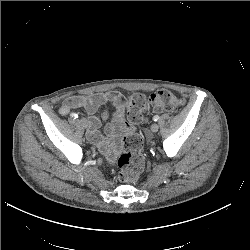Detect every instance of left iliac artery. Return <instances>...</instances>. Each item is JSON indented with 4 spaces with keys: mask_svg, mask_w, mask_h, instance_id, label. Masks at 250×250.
Returning a JSON list of instances; mask_svg holds the SVG:
<instances>
[{
    "mask_svg": "<svg viewBox=\"0 0 250 250\" xmlns=\"http://www.w3.org/2000/svg\"><path fill=\"white\" fill-rule=\"evenodd\" d=\"M153 120H154V121H158V120H159V116H158V115H155V116L153 117Z\"/></svg>",
    "mask_w": 250,
    "mask_h": 250,
    "instance_id": "44dca946",
    "label": "left iliac artery"
}]
</instances>
